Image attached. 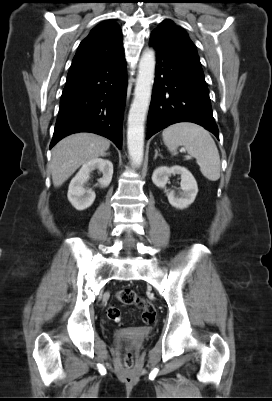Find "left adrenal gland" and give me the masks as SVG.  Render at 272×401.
Segmentation results:
<instances>
[{
  "label": "left adrenal gland",
  "instance_id": "left-adrenal-gland-1",
  "mask_svg": "<svg viewBox=\"0 0 272 401\" xmlns=\"http://www.w3.org/2000/svg\"><path fill=\"white\" fill-rule=\"evenodd\" d=\"M158 156L162 158V155H161L160 153H158V150H157V149H155L154 160H156Z\"/></svg>",
  "mask_w": 272,
  "mask_h": 401
}]
</instances>
